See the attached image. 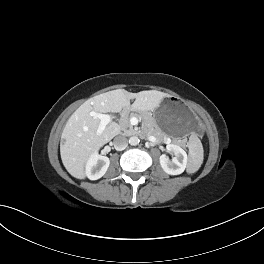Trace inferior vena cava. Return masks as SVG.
Returning <instances> with one entry per match:
<instances>
[{
    "label": "inferior vena cava",
    "instance_id": "1",
    "mask_svg": "<svg viewBox=\"0 0 264 264\" xmlns=\"http://www.w3.org/2000/svg\"><path fill=\"white\" fill-rule=\"evenodd\" d=\"M114 148L118 151L124 150L128 146V140L125 136L119 135L114 138Z\"/></svg>",
    "mask_w": 264,
    "mask_h": 264
}]
</instances>
